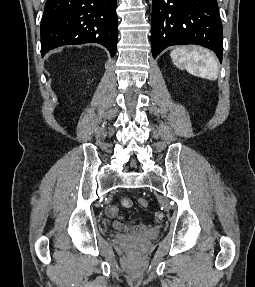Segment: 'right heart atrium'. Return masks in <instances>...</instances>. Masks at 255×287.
<instances>
[{
  "instance_id": "1",
  "label": "right heart atrium",
  "mask_w": 255,
  "mask_h": 287,
  "mask_svg": "<svg viewBox=\"0 0 255 287\" xmlns=\"http://www.w3.org/2000/svg\"><path fill=\"white\" fill-rule=\"evenodd\" d=\"M127 33H140V32H127ZM128 39H139V38H128Z\"/></svg>"
}]
</instances>
